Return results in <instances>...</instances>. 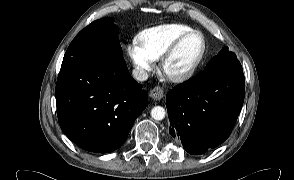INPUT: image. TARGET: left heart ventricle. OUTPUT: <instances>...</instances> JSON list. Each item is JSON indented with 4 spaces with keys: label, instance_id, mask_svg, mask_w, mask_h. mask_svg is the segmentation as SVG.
<instances>
[{
    "label": "left heart ventricle",
    "instance_id": "b2bd125f",
    "mask_svg": "<svg viewBox=\"0 0 294 180\" xmlns=\"http://www.w3.org/2000/svg\"><path fill=\"white\" fill-rule=\"evenodd\" d=\"M201 50V39L199 36H192L187 39L170 59L166 65V72L170 75H177L184 72L193 63Z\"/></svg>",
    "mask_w": 294,
    "mask_h": 180
}]
</instances>
